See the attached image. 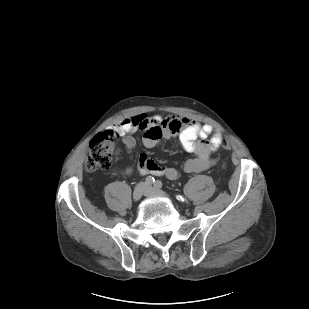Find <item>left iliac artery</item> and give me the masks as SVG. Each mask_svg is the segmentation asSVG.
<instances>
[{
	"label": "left iliac artery",
	"mask_w": 309,
	"mask_h": 309,
	"mask_svg": "<svg viewBox=\"0 0 309 309\" xmlns=\"http://www.w3.org/2000/svg\"><path fill=\"white\" fill-rule=\"evenodd\" d=\"M163 184L160 180H156L155 183H154V187L157 188V189H160L162 188ZM176 199L181 201V202H184L186 199L184 196L180 195V194H176Z\"/></svg>",
	"instance_id": "left-iliac-artery-1"
}]
</instances>
